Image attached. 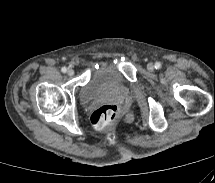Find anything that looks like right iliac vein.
<instances>
[{
  "instance_id": "63e3f726",
  "label": "right iliac vein",
  "mask_w": 215,
  "mask_h": 183,
  "mask_svg": "<svg viewBox=\"0 0 215 183\" xmlns=\"http://www.w3.org/2000/svg\"><path fill=\"white\" fill-rule=\"evenodd\" d=\"M67 74H68L69 76H73V75L75 74V72H74L73 69H69L68 72H67Z\"/></svg>"
}]
</instances>
